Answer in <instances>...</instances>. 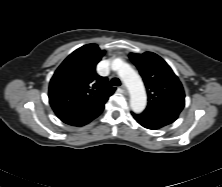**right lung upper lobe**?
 Masks as SVG:
<instances>
[{
    "instance_id": "right-lung-upper-lobe-1",
    "label": "right lung upper lobe",
    "mask_w": 222,
    "mask_h": 187,
    "mask_svg": "<svg viewBox=\"0 0 222 187\" xmlns=\"http://www.w3.org/2000/svg\"><path fill=\"white\" fill-rule=\"evenodd\" d=\"M104 53L96 44L82 46L55 71L49 85V101L59 119L89 117L103 111L116 90L95 70Z\"/></svg>"
}]
</instances>
